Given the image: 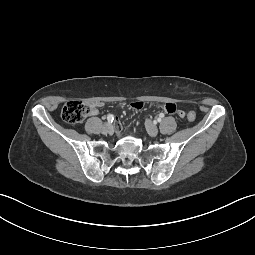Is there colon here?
<instances>
[{"label": "colon", "instance_id": "colon-1", "mask_svg": "<svg viewBox=\"0 0 255 255\" xmlns=\"http://www.w3.org/2000/svg\"><path fill=\"white\" fill-rule=\"evenodd\" d=\"M90 106L79 100L68 101L64 104L61 117L62 119L69 124H78L81 123L89 114ZM196 118L194 111H189L187 114V119L192 122Z\"/></svg>", "mask_w": 255, "mask_h": 255}]
</instances>
